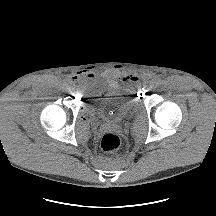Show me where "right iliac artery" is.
<instances>
[{"label": "right iliac artery", "instance_id": "1", "mask_svg": "<svg viewBox=\"0 0 216 216\" xmlns=\"http://www.w3.org/2000/svg\"><path fill=\"white\" fill-rule=\"evenodd\" d=\"M73 85H74V84L71 82V83L69 84V86L66 87V90H67V91L72 90V89H73Z\"/></svg>", "mask_w": 216, "mask_h": 216}]
</instances>
